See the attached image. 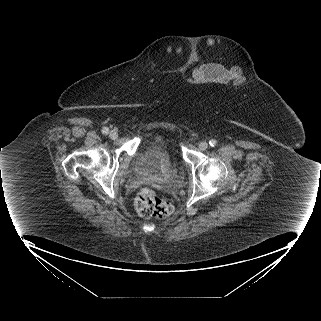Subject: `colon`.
I'll use <instances>...</instances> for the list:
<instances>
[{
	"label": "colon",
	"instance_id": "colon-1",
	"mask_svg": "<svg viewBox=\"0 0 321 321\" xmlns=\"http://www.w3.org/2000/svg\"><path fill=\"white\" fill-rule=\"evenodd\" d=\"M138 214L146 218H166L173 212L172 205L157 196L150 188H143L137 194L134 201Z\"/></svg>",
	"mask_w": 321,
	"mask_h": 321
}]
</instances>
